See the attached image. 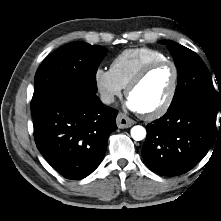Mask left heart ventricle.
I'll use <instances>...</instances> for the list:
<instances>
[{
    "instance_id": "left-heart-ventricle-1",
    "label": "left heart ventricle",
    "mask_w": 221,
    "mask_h": 221,
    "mask_svg": "<svg viewBox=\"0 0 221 221\" xmlns=\"http://www.w3.org/2000/svg\"><path fill=\"white\" fill-rule=\"evenodd\" d=\"M173 81V69L169 65L155 68L131 93L140 112L159 107L167 97Z\"/></svg>"
}]
</instances>
